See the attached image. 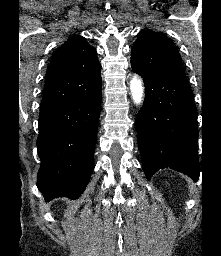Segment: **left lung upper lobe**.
<instances>
[{
  "label": "left lung upper lobe",
  "instance_id": "5c2ea615",
  "mask_svg": "<svg viewBox=\"0 0 221 256\" xmlns=\"http://www.w3.org/2000/svg\"><path fill=\"white\" fill-rule=\"evenodd\" d=\"M131 66L141 76L186 78L175 44L165 35L141 30L131 50Z\"/></svg>",
  "mask_w": 221,
  "mask_h": 256
}]
</instances>
